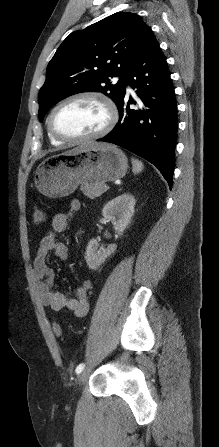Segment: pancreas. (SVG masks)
Masks as SVG:
<instances>
[{
    "instance_id": "cf45deb5",
    "label": "pancreas",
    "mask_w": 219,
    "mask_h": 447,
    "mask_svg": "<svg viewBox=\"0 0 219 447\" xmlns=\"http://www.w3.org/2000/svg\"><path fill=\"white\" fill-rule=\"evenodd\" d=\"M83 194L89 198L101 196L106 191L104 184H84L80 187Z\"/></svg>"
}]
</instances>
